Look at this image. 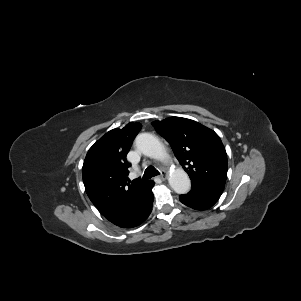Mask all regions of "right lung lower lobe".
I'll return each instance as SVG.
<instances>
[{
  "label": "right lung lower lobe",
  "instance_id": "98d812e1",
  "mask_svg": "<svg viewBox=\"0 0 301 301\" xmlns=\"http://www.w3.org/2000/svg\"><path fill=\"white\" fill-rule=\"evenodd\" d=\"M154 186L153 181H148L143 189V192L135 205L132 212L118 225L122 228H132L139 226L143 223L152 211V204L154 195L152 188Z\"/></svg>",
  "mask_w": 301,
  "mask_h": 301
}]
</instances>
